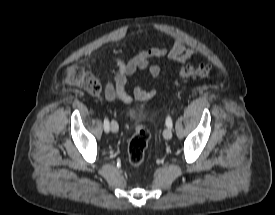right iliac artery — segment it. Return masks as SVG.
<instances>
[{
  "mask_svg": "<svg viewBox=\"0 0 275 215\" xmlns=\"http://www.w3.org/2000/svg\"><path fill=\"white\" fill-rule=\"evenodd\" d=\"M110 126H109V120L108 118L104 119V130L105 132H109Z\"/></svg>",
  "mask_w": 275,
  "mask_h": 215,
  "instance_id": "1",
  "label": "right iliac artery"
}]
</instances>
